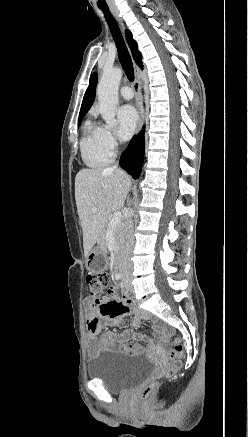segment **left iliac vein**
<instances>
[{
    "mask_svg": "<svg viewBox=\"0 0 248 437\" xmlns=\"http://www.w3.org/2000/svg\"><path fill=\"white\" fill-rule=\"evenodd\" d=\"M123 282H124V286H125V288H126L128 291L133 292V286H132V284H131L130 279H129L128 277H125V278L123 279Z\"/></svg>",
    "mask_w": 248,
    "mask_h": 437,
    "instance_id": "obj_1",
    "label": "left iliac vein"
}]
</instances>
